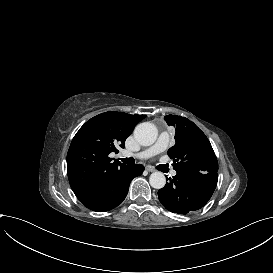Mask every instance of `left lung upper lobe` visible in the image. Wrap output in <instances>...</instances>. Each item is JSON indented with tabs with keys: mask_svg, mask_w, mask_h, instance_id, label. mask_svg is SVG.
Returning <instances> with one entry per match:
<instances>
[{
	"mask_svg": "<svg viewBox=\"0 0 273 273\" xmlns=\"http://www.w3.org/2000/svg\"><path fill=\"white\" fill-rule=\"evenodd\" d=\"M164 119L176 128V144L168 150L176 171H218L217 158L208 138L192 121L176 115H167Z\"/></svg>",
	"mask_w": 273,
	"mask_h": 273,
	"instance_id": "obj_1",
	"label": "left lung upper lobe"
}]
</instances>
